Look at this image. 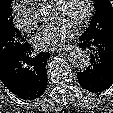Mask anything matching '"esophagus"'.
<instances>
[{
	"label": "esophagus",
	"mask_w": 113,
	"mask_h": 113,
	"mask_svg": "<svg viewBox=\"0 0 113 113\" xmlns=\"http://www.w3.org/2000/svg\"><path fill=\"white\" fill-rule=\"evenodd\" d=\"M73 47H74V45H66V46L60 48L59 50L63 51V52H69L73 49Z\"/></svg>",
	"instance_id": "1"
}]
</instances>
